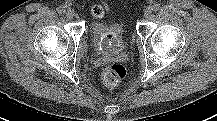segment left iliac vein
<instances>
[{"label": "left iliac vein", "mask_w": 217, "mask_h": 121, "mask_svg": "<svg viewBox=\"0 0 217 121\" xmlns=\"http://www.w3.org/2000/svg\"><path fill=\"white\" fill-rule=\"evenodd\" d=\"M151 14H152V9L150 7L146 8L144 10V17L145 18H149L151 16Z\"/></svg>", "instance_id": "4c4485c4"}]
</instances>
